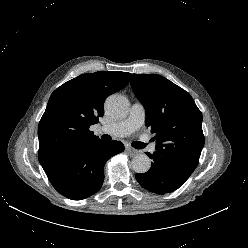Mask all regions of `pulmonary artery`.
<instances>
[{"label": "pulmonary artery", "instance_id": "e3ab8cb5", "mask_svg": "<svg viewBox=\"0 0 248 248\" xmlns=\"http://www.w3.org/2000/svg\"><path fill=\"white\" fill-rule=\"evenodd\" d=\"M144 121L145 108L140 102H135L125 119L100 126L98 131L115 137H125L141 127Z\"/></svg>", "mask_w": 248, "mask_h": 248}]
</instances>
